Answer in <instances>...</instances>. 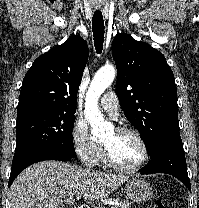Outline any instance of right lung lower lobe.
I'll list each match as a JSON object with an SVG mask.
<instances>
[{
  "label": "right lung lower lobe",
  "instance_id": "1",
  "mask_svg": "<svg viewBox=\"0 0 199 208\" xmlns=\"http://www.w3.org/2000/svg\"><path fill=\"white\" fill-rule=\"evenodd\" d=\"M72 158L73 157H71L70 155H66L56 149H42L28 152L27 154H24L19 159L12 162L9 186L12 184L14 179L22 170H24L26 167L30 166L33 163L44 160L69 161Z\"/></svg>",
  "mask_w": 199,
  "mask_h": 208
}]
</instances>
